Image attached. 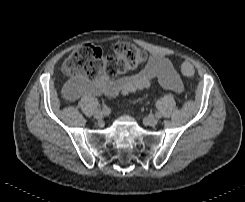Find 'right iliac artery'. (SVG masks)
Segmentation results:
<instances>
[{
  "label": "right iliac artery",
  "mask_w": 245,
  "mask_h": 202,
  "mask_svg": "<svg viewBox=\"0 0 245 202\" xmlns=\"http://www.w3.org/2000/svg\"><path fill=\"white\" fill-rule=\"evenodd\" d=\"M103 111H105V112H106V114L110 113V109H109V108H107V107H103Z\"/></svg>",
  "instance_id": "right-iliac-artery-1"
}]
</instances>
